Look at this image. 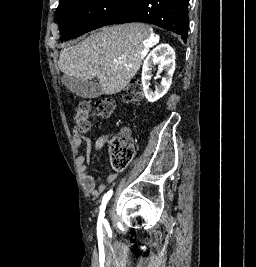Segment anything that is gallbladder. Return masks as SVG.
<instances>
[{
	"label": "gallbladder",
	"instance_id": "obj_1",
	"mask_svg": "<svg viewBox=\"0 0 256 267\" xmlns=\"http://www.w3.org/2000/svg\"><path fill=\"white\" fill-rule=\"evenodd\" d=\"M61 82L67 90H70L75 96H80V98H99L102 96V90L96 82H86V80L66 76V74L62 76Z\"/></svg>",
	"mask_w": 256,
	"mask_h": 267
}]
</instances>
